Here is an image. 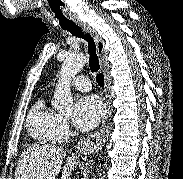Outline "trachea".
Returning a JSON list of instances; mask_svg holds the SVG:
<instances>
[{"instance_id": "1", "label": "trachea", "mask_w": 183, "mask_h": 179, "mask_svg": "<svg viewBox=\"0 0 183 179\" xmlns=\"http://www.w3.org/2000/svg\"><path fill=\"white\" fill-rule=\"evenodd\" d=\"M56 16L59 19V24L62 29L68 30L73 36L82 38L88 43L89 67L91 72L97 73L100 70V65L93 37L89 33L84 34L81 27L76 25L73 21L68 20L61 12L60 15L56 13ZM96 81L99 86L103 87L104 75L102 73H97Z\"/></svg>"}]
</instances>
